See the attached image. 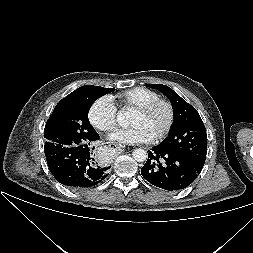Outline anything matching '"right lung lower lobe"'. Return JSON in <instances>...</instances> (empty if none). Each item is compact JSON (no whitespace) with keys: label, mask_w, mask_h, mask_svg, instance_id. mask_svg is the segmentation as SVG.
Here are the masks:
<instances>
[{"label":"right lung lower lobe","mask_w":253,"mask_h":253,"mask_svg":"<svg viewBox=\"0 0 253 253\" xmlns=\"http://www.w3.org/2000/svg\"><path fill=\"white\" fill-rule=\"evenodd\" d=\"M94 138L87 144L65 148L55 154L47 155L48 167L54 178L70 188H88L102 182L108 176L107 166L98 160L94 150L99 139L95 131Z\"/></svg>","instance_id":"1"}]
</instances>
